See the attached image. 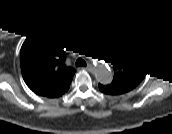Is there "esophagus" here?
<instances>
[{"mask_svg": "<svg viewBox=\"0 0 172 134\" xmlns=\"http://www.w3.org/2000/svg\"><path fill=\"white\" fill-rule=\"evenodd\" d=\"M86 67H87V69L91 70L92 69V64L90 62H87Z\"/></svg>", "mask_w": 172, "mask_h": 134, "instance_id": "1", "label": "esophagus"}]
</instances>
